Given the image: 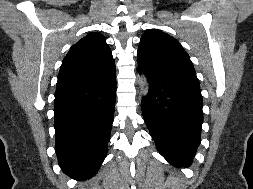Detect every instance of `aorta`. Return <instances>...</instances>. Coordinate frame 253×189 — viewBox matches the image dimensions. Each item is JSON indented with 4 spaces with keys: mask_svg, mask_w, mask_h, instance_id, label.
Here are the masks:
<instances>
[{
    "mask_svg": "<svg viewBox=\"0 0 253 189\" xmlns=\"http://www.w3.org/2000/svg\"><path fill=\"white\" fill-rule=\"evenodd\" d=\"M138 84L142 95H147L149 90V83L145 75H140L138 78Z\"/></svg>",
    "mask_w": 253,
    "mask_h": 189,
    "instance_id": "obj_1",
    "label": "aorta"
}]
</instances>
